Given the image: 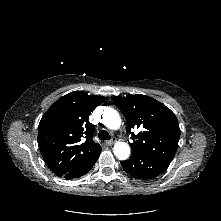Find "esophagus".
<instances>
[{
    "mask_svg": "<svg viewBox=\"0 0 221 221\" xmlns=\"http://www.w3.org/2000/svg\"><path fill=\"white\" fill-rule=\"evenodd\" d=\"M115 142H116V140H115V139H112V140H110V141H107L106 144H107L108 146H112L113 144H115Z\"/></svg>",
    "mask_w": 221,
    "mask_h": 221,
    "instance_id": "1",
    "label": "esophagus"
}]
</instances>
